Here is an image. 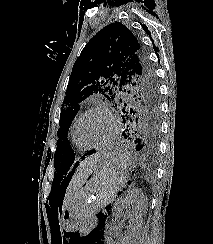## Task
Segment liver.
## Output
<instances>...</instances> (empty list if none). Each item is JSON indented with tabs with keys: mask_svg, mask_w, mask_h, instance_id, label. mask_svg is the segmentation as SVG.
Segmentation results:
<instances>
[{
	"mask_svg": "<svg viewBox=\"0 0 213 244\" xmlns=\"http://www.w3.org/2000/svg\"><path fill=\"white\" fill-rule=\"evenodd\" d=\"M104 155H106V153H95L92 156L87 157L83 162L80 163L67 188V192L63 202L64 210L69 206V203L75 196L77 190L85 183L88 177L92 174L98 162Z\"/></svg>",
	"mask_w": 213,
	"mask_h": 244,
	"instance_id": "6515ba94",
	"label": "liver"
}]
</instances>
